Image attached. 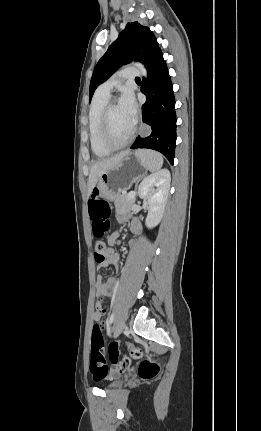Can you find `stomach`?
<instances>
[{
	"label": "stomach",
	"mask_w": 261,
	"mask_h": 431,
	"mask_svg": "<svg viewBox=\"0 0 261 431\" xmlns=\"http://www.w3.org/2000/svg\"><path fill=\"white\" fill-rule=\"evenodd\" d=\"M147 165L137 152H129L113 169L103 173L98 182V197L113 200L120 192L145 176Z\"/></svg>",
	"instance_id": "1"
}]
</instances>
